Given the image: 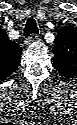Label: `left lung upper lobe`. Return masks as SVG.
<instances>
[{
	"label": "left lung upper lobe",
	"mask_w": 77,
	"mask_h": 125,
	"mask_svg": "<svg viewBox=\"0 0 77 125\" xmlns=\"http://www.w3.org/2000/svg\"><path fill=\"white\" fill-rule=\"evenodd\" d=\"M53 48L54 68L57 65L77 66V30L74 27L65 26L58 30Z\"/></svg>",
	"instance_id": "5c2ea615"
}]
</instances>
